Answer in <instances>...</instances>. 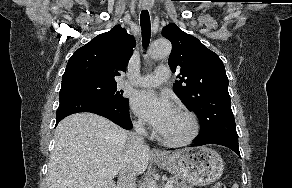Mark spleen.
<instances>
[{
	"mask_svg": "<svg viewBox=\"0 0 292 188\" xmlns=\"http://www.w3.org/2000/svg\"><path fill=\"white\" fill-rule=\"evenodd\" d=\"M232 188H239V187H238V184H236V183L233 184Z\"/></svg>",
	"mask_w": 292,
	"mask_h": 188,
	"instance_id": "obj_1",
	"label": "spleen"
}]
</instances>
